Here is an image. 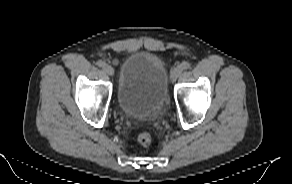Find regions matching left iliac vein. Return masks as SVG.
I'll list each match as a JSON object with an SVG mask.
<instances>
[{
    "mask_svg": "<svg viewBox=\"0 0 292 184\" xmlns=\"http://www.w3.org/2000/svg\"><path fill=\"white\" fill-rule=\"evenodd\" d=\"M181 72L182 70L179 67H176L171 71L170 80L172 83L176 81V79L179 77Z\"/></svg>",
    "mask_w": 292,
    "mask_h": 184,
    "instance_id": "1",
    "label": "left iliac vein"
}]
</instances>
